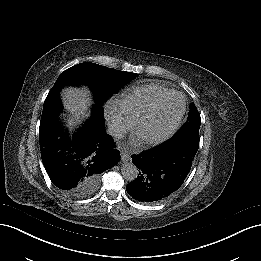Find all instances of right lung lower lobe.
<instances>
[{
    "label": "right lung lower lobe",
    "mask_w": 261,
    "mask_h": 261,
    "mask_svg": "<svg viewBox=\"0 0 261 261\" xmlns=\"http://www.w3.org/2000/svg\"><path fill=\"white\" fill-rule=\"evenodd\" d=\"M59 88H52L45 99L39 128L44 167L52 183L69 195H77L80 186L91 187L98 174L120 160L112 137L105 133L104 109L93 106L92 115L71 140L63 133L58 113L62 109Z\"/></svg>",
    "instance_id": "right-lung-lower-lobe-1"
}]
</instances>
